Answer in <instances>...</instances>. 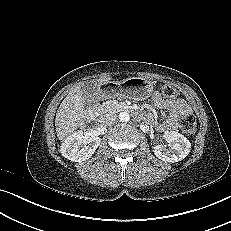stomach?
Masks as SVG:
<instances>
[{
  "label": "stomach",
  "mask_w": 231,
  "mask_h": 231,
  "mask_svg": "<svg viewBox=\"0 0 231 231\" xmlns=\"http://www.w3.org/2000/svg\"><path fill=\"white\" fill-rule=\"evenodd\" d=\"M108 88V97H125L142 101L152 95L154 84L145 78L131 77L122 81L112 82Z\"/></svg>",
  "instance_id": "1"
}]
</instances>
